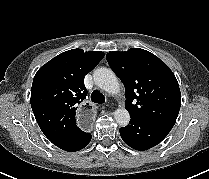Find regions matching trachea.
<instances>
[{
	"label": "trachea",
	"instance_id": "3493384b",
	"mask_svg": "<svg viewBox=\"0 0 209 179\" xmlns=\"http://www.w3.org/2000/svg\"><path fill=\"white\" fill-rule=\"evenodd\" d=\"M91 100L94 102V103H99V104H102L105 102V97L104 95L99 92L98 90H94L91 94Z\"/></svg>",
	"mask_w": 209,
	"mask_h": 179
}]
</instances>
